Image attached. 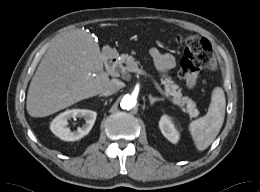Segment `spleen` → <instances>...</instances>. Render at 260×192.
Masks as SVG:
<instances>
[{
	"instance_id": "1",
	"label": "spleen",
	"mask_w": 260,
	"mask_h": 192,
	"mask_svg": "<svg viewBox=\"0 0 260 192\" xmlns=\"http://www.w3.org/2000/svg\"><path fill=\"white\" fill-rule=\"evenodd\" d=\"M226 99L221 87H215L205 116L192 121L189 131L198 151L208 148L217 137L225 117Z\"/></svg>"
}]
</instances>
